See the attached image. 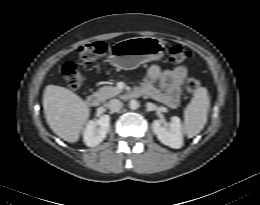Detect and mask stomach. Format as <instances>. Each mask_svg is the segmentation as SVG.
Masks as SVG:
<instances>
[{
    "label": "stomach",
    "instance_id": "1",
    "mask_svg": "<svg viewBox=\"0 0 260 205\" xmlns=\"http://www.w3.org/2000/svg\"><path fill=\"white\" fill-rule=\"evenodd\" d=\"M164 48L163 41L156 37L128 38L114 44L111 63L120 69H134L140 64L161 59Z\"/></svg>",
    "mask_w": 260,
    "mask_h": 205
}]
</instances>
